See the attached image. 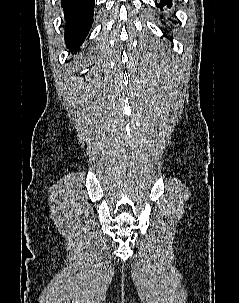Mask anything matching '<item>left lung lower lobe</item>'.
Listing matches in <instances>:
<instances>
[{
	"label": "left lung lower lobe",
	"mask_w": 239,
	"mask_h": 303,
	"mask_svg": "<svg viewBox=\"0 0 239 303\" xmlns=\"http://www.w3.org/2000/svg\"><path fill=\"white\" fill-rule=\"evenodd\" d=\"M171 1L172 0H161L160 1V3L159 4H156L159 8H161V10H162V8L164 7V6H167V7H171Z\"/></svg>",
	"instance_id": "obj_1"
}]
</instances>
